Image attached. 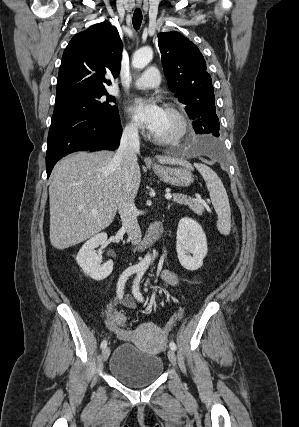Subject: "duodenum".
Listing matches in <instances>:
<instances>
[{
  "mask_svg": "<svg viewBox=\"0 0 299 427\" xmlns=\"http://www.w3.org/2000/svg\"><path fill=\"white\" fill-rule=\"evenodd\" d=\"M164 232V226L161 222H156L151 225L148 234L142 241V247H150L156 243H158L162 237Z\"/></svg>",
  "mask_w": 299,
  "mask_h": 427,
  "instance_id": "410a0bca",
  "label": "duodenum"
}]
</instances>
